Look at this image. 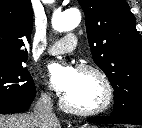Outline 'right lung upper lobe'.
<instances>
[{
	"label": "right lung upper lobe",
	"mask_w": 142,
	"mask_h": 128,
	"mask_svg": "<svg viewBox=\"0 0 142 128\" xmlns=\"http://www.w3.org/2000/svg\"><path fill=\"white\" fill-rule=\"evenodd\" d=\"M33 10L30 0H0V66L27 61Z\"/></svg>",
	"instance_id": "obj_1"
}]
</instances>
